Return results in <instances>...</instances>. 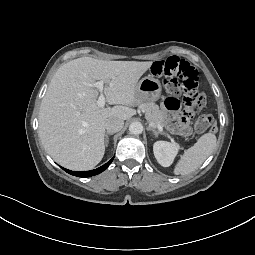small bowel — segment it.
<instances>
[{
    "label": "small bowel",
    "instance_id": "small-bowel-1",
    "mask_svg": "<svg viewBox=\"0 0 255 255\" xmlns=\"http://www.w3.org/2000/svg\"><path fill=\"white\" fill-rule=\"evenodd\" d=\"M162 105L171 130L182 135H188L190 133L189 117L178 114L179 102L174 98H167Z\"/></svg>",
    "mask_w": 255,
    "mask_h": 255
}]
</instances>
